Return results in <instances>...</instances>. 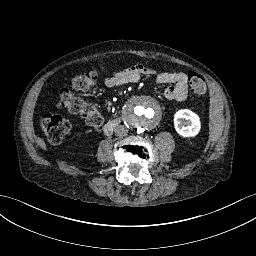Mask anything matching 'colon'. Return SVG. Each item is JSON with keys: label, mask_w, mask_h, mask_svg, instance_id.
Instances as JSON below:
<instances>
[{"label": "colon", "mask_w": 256, "mask_h": 256, "mask_svg": "<svg viewBox=\"0 0 256 256\" xmlns=\"http://www.w3.org/2000/svg\"><path fill=\"white\" fill-rule=\"evenodd\" d=\"M99 75V71L93 70L72 78L71 89H62L60 91L58 104L59 108L79 115L87 124L97 129L103 124L102 117L90 101L76 96L74 92H88L92 90L98 84ZM187 79L194 94H205L206 83L200 73L191 71L188 73ZM41 125L48 141L52 144L62 143L71 128V123L68 120L50 113H45L42 116Z\"/></svg>", "instance_id": "1"}]
</instances>
